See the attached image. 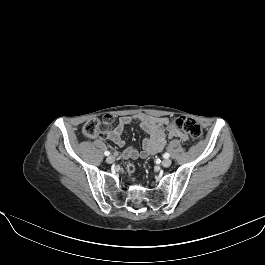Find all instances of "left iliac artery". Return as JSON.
Segmentation results:
<instances>
[{
  "mask_svg": "<svg viewBox=\"0 0 265 265\" xmlns=\"http://www.w3.org/2000/svg\"><path fill=\"white\" fill-rule=\"evenodd\" d=\"M163 157H164V158H169V157H170V154H169V153H164V154H163Z\"/></svg>",
  "mask_w": 265,
  "mask_h": 265,
  "instance_id": "obj_1",
  "label": "left iliac artery"
}]
</instances>
